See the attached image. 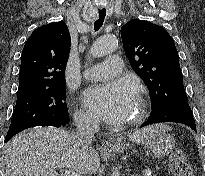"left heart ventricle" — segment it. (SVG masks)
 I'll use <instances>...</instances> for the list:
<instances>
[{
  "label": "left heart ventricle",
  "mask_w": 205,
  "mask_h": 176,
  "mask_svg": "<svg viewBox=\"0 0 205 176\" xmlns=\"http://www.w3.org/2000/svg\"><path fill=\"white\" fill-rule=\"evenodd\" d=\"M137 110H138V103L136 101L135 105L133 106L132 110L130 111L129 115L127 116V118L125 120H128L132 116H134V114L137 112Z\"/></svg>",
  "instance_id": "1"
}]
</instances>
